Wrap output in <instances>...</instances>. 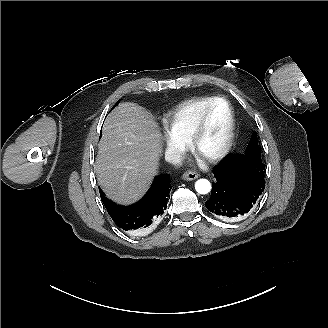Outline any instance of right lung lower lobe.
<instances>
[{"label":"right lung lower lobe","mask_w":328,"mask_h":328,"mask_svg":"<svg viewBox=\"0 0 328 328\" xmlns=\"http://www.w3.org/2000/svg\"><path fill=\"white\" fill-rule=\"evenodd\" d=\"M169 180L168 174L157 177L148 193L132 206L125 207L113 203L99 189L101 200L119 228L125 231L144 229L149 227L166 210L172 188Z\"/></svg>","instance_id":"1"}]
</instances>
